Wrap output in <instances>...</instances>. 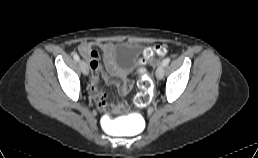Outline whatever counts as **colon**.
<instances>
[{"label": "colon", "instance_id": "obj_1", "mask_svg": "<svg viewBox=\"0 0 258 158\" xmlns=\"http://www.w3.org/2000/svg\"><path fill=\"white\" fill-rule=\"evenodd\" d=\"M166 55V49L162 45H154V46H147L143 49L141 58L139 60L140 64V80L138 82L140 92L136 96L135 102L139 107L147 106L152 97V90H153V83L149 76L146 73L144 65L149 61H156V58H163ZM125 104L120 105H107L105 110L112 111L115 109H125Z\"/></svg>", "mask_w": 258, "mask_h": 158}]
</instances>
